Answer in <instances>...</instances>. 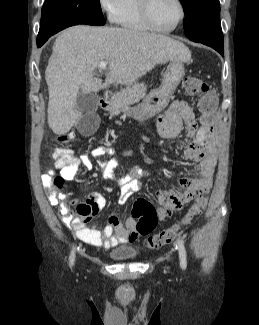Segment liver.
<instances>
[{
	"label": "liver",
	"instance_id": "6515ba94",
	"mask_svg": "<svg viewBox=\"0 0 259 325\" xmlns=\"http://www.w3.org/2000/svg\"><path fill=\"white\" fill-rule=\"evenodd\" d=\"M190 59V50L183 43L165 35L119 27L67 28L56 38L45 71L48 125L55 134L62 135L79 122V90L90 94L113 83L129 85L157 64ZM101 61L109 65L105 84L94 77Z\"/></svg>",
	"mask_w": 259,
	"mask_h": 325
}]
</instances>
